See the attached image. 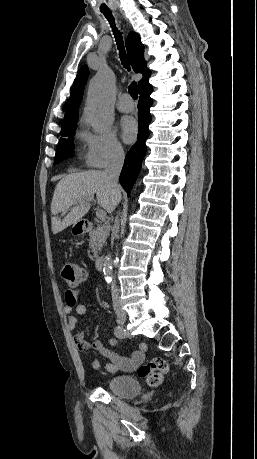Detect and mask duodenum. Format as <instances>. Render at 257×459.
<instances>
[{
    "label": "duodenum",
    "instance_id": "obj_1",
    "mask_svg": "<svg viewBox=\"0 0 257 459\" xmlns=\"http://www.w3.org/2000/svg\"><path fill=\"white\" fill-rule=\"evenodd\" d=\"M94 226L91 222L89 221H84L80 226L77 227V234L83 235L91 232L93 230ZM96 267L98 269H102L103 263H104V258L103 257H97L96 260Z\"/></svg>",
    "mask_w": 257,
    "mask_h": 459
}]
</instances>
